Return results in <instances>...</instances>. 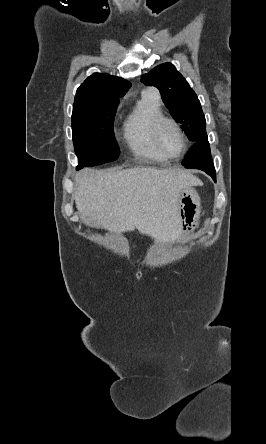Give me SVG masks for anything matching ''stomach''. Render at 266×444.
<instances>
[{"mask_svg":"<svg viewBox=\"0 0 266 444\" xmlns=\"http://www.w3.org/2000/svg\"><path fill=\"white\" fill-rule=\"evenodd\" d=\"M201 205L197 191L191 187L182 190L178 197V222L180 236L189 234L200 217Z\"/></svg>","mask_w":266,"mask_h":444,"instance_id":"1","label":"stomach"}]
</instances>
